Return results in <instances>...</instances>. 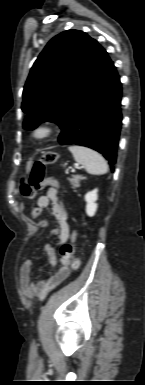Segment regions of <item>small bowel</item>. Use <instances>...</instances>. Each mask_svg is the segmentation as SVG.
I'll use <instances>...</instances> for the list:
<instances>
[{"label":"small bowel","mask_w":145,"mask_h":385,"mask_svg":"<svg viewBox=\"0 0 145 385\" xmlns=\"http://www.w3.org/2000/svg\"><path fill=\"white\" fill-rule=\"evenodd\" d=\"M47 183L50 188L45 194L39 196L37 207L34 209L42 212L43 208L48 206L52 207L53 215L57 222V227L52 231V234L57 236L60 244H63L71 235L68 212L57 193L59 182L55 178H50ZM34 209L32 210L33 217ZM37 225L43 228L46 227L48 223L42 220L39 221ZM73 237H75L74 234L72 235V238ZM44 251L51 266L50 274L47 277L40 280L35 278L33 262L31 260H26L20 269L21 291L25 297L35 301L44 300L49 292L66 280L74 269L71 262L66 258H61L60 266L56 267V250L52 245L46 244Z\"/></svg>","instance_id":"obj_1"}]
</instances>
